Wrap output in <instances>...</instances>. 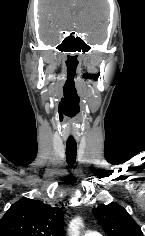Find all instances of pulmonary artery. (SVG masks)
Returning a JSON list of instances; mask_svg holds the SVG:
<instances>
[{
    "label": "pulmonary artery",
    "mask_w": 145,
    "mask_h": 236,
    "mask_svg": "<svg viewBox=\"0 0 145 236\" xmlns=\"http://www.w3.org/2000/svg\"><path fill=\"white\" fill-rule=\"evenodd\" d=\"M84 236H101V235L95 231H88L85 233Z\"/></svg>",
    "instance_id": "pulmonary-artery-1"
}]
</instances>
